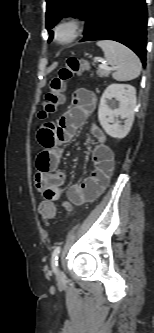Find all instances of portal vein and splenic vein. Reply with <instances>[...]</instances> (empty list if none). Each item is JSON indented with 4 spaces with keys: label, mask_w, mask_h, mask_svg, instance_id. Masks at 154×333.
<instances>
[{
    "label": "portal vein and splenic vein",
    "mask_w": 154,
    "mask_h": 333,
    "mask_svg": "<svg viewBox=\"0 0 154 333\" xmlns=\"http://www.w3.org/2000/svg\"><path fill=\"white\" fill-rule=\"evenodd\" d=\"M99 67L103 68V69H106V70H113L114 68L113 67H109L107 66L106 64L104 65H100Z\"/></svg>",
    "instance_id": "portal-vein-and-splenic-vein-1"
}]
</instances>
